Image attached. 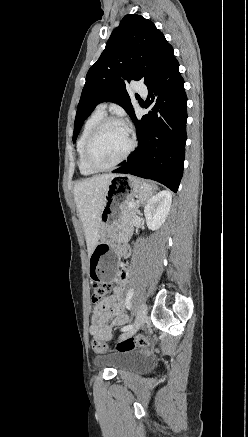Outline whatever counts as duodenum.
<instances>
[{"label": "duodenum", "mask_w": 248, "mask_h": 437, "mask_svg": "<svg viewBox=\"0 0 248 437\" xmlns=\"http://www.w3.org/2000/svg\"><path fill=\"white\" fill-rule=\"evenodd\" d=\"M128 249L126 248V247H123L122 249H121V253L123 254V255H128Z\"/></svg>", "instance_id": "obj_1"}]
</instances>
